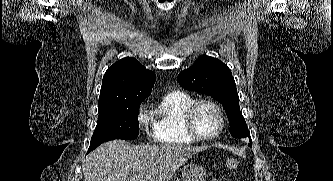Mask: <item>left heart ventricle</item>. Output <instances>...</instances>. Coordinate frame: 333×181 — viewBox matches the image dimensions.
I'll return each instance as SVG.
<instances>
[{
  "instance_id": "left-heart-ventricle-1",
  "label": "left heart ventricle",
  "mask_w": 333,
  "mask_h": 181,
  "mask_svg": "<svg viewBox=\"0 0 333 181\" xmlns=\"http://www.w3.org/2000/svg\"><path fill=\"white\" fill-rule=\"evenodd\" d=\"M195 124L200 134L203 136H212L217 133L220 120L218 114L212 107L202 105L196 113Z\"/></svg>"
}]
</instances>
